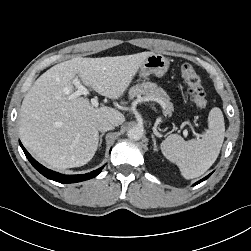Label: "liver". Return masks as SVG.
Masks as SVG:
<instances>
[{
  "instance_id": "6515ba94",
  "label": "liver",
  "mask_w": 251,
  "mask_h": 251,
  "mask_svg": "<svg viewBox=\"0 0 251 251\" xmlns=\"http://www.w3.org/2000/svg\"><path fill=\"white\" fill-rule=\"evenodd\" d=\"M151 54L77 57L48 69L34 82L21 105L19 132L24 146L52 168L87 164L98 148L97 120L106 118L118 126L125 117L114 108H94L86 98L73 97V78L79 77L102 96L118 99Z\"/></svg>"
}]
</instances>
